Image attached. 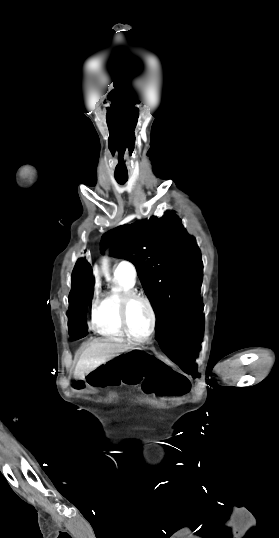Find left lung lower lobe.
Wrapping results in <instances>:
<instances>
[{
	"instance_id": "0a47b994",
	"label": "left lung lower lobe",
	"mask_w": 279,
	"mask_h": 538,
	"mask_svg": "<svg viewBox=\"0 0 279 538\" xmlns=\"http://www.w3.org/2000/svg\"><path fill=\"white\" fill-rule=\"evenodd\" d=\"M204 319L177 333H156V339L166 356L184 372L197 376L194 365L203 338Z\"/></svg>"
}]
</instances>
